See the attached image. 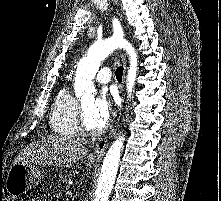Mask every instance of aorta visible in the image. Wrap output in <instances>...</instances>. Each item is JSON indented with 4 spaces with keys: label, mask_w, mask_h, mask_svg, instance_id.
I'll list each match as a JSON object with an SVG mask.
<instances>
[{
    "label": "aorta",
    "mask_w": 221,
    "mask_h": 201,
    "mask_svg": "<svg viewBox=\"0 0 221 201\" xmlns=\"http://www.w3.org/2000/svg\"><path fill=\"white\" fill-rule=\"evenodd\" d=\"M117 48L126 50L130 58L126 88L128 97L131 98L137 76L138 58L134 47L123 37L117 36L94 43L89 48L87 56L78 64L74 82L77 97H84L94 91L93 79L99 70L101 61ZM123 141L124 137L119 136L106 153L95 190L94 201H107L109 198L119 167Z\"/></svg>",
    "instance_id": "1"
}]
</instances>
